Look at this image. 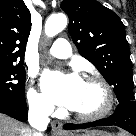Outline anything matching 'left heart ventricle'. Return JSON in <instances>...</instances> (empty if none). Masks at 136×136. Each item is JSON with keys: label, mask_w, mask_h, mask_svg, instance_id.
Returning a JSON list of instances; mask_svg holds the SVG:
<instances>
[{"label": "left heart ventricle", "mask_w": 136, "mask_h": 136, "mask_svg": "<svg viewBox=\"0 0 136 136\" xmlns=\"http://www.w3.org/2000/svg\"><path fill=\"white\" fill-rule=\"evenodd\" d=\"M105 103V94L102 88L91 82H83L77 106L73 109L82 114L98 112Z\"/></svg>", "instance_id": "left-heart-ventricle-1"}]
</instances>
